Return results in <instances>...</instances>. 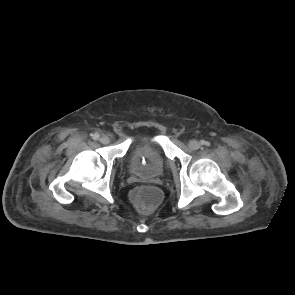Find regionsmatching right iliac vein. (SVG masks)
<instances>
[{"label":"right iliac vein","instance_id":"1","mask_svg":"<svg viewBox=\"0 0 295 295\" xmlns=\"http://www.w3.org/2000/svg\"><path fill=\"white\" fill-rule=\"evenodd\" d=\"M99 140L102 144H108L110 142V138L107 135L101 136Z\"/></svg>","mask_w":295,"mask_h":295}]
</instances>
